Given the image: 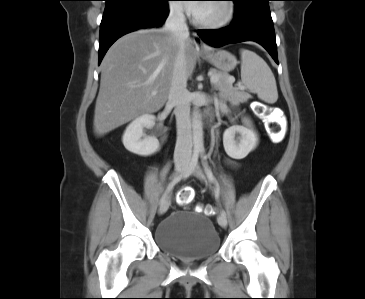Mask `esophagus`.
Instances as JSON below:
<instances>
[{"label": "esophagus", "instance_id": "34e87169", "mask_svg": "<svg viewBox=\"0 0 365 299\" xmlns=\"http://www.w3.org/2000/svg\"><path fill=\"white\" fill-rule=\"evenodd\" d=\"M194 44H195L197 50L205 49V45L202 43L201 39H199L196 36L194 37Z\"/></svg>", "mask_w": 365, "mask_h": 299}]
</instances>
